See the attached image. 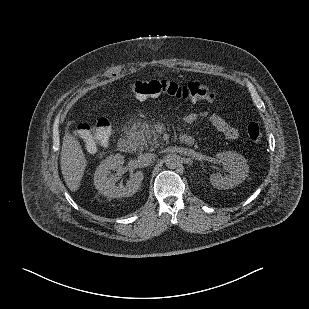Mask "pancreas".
<instances>
[{
  "mask_svg": "<svg viewBox=\"0 0 309 309\" xmlns=\"http://www.w3.org/2000/svg\"><path fill=\"white\" fill-rule=\"evenodd\" d=\"M136 141L140 144L147 146V143L154 146L158 145V134L155 132L153 128H149L146 130L140 129L139 131H135L132 135Z\"/></svg>",
  "mask_w": 309,
  "mask_h": 309,
  "instance_id": "cf45deb5",
  "label": "pancreas"
}]
</instances>
